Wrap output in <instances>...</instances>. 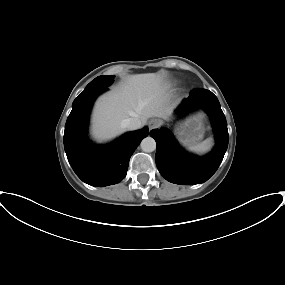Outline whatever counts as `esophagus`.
I'll list each match as a JSON object with an SVG mask.
<instances>
[{
  "mask_svg": "<svg viewBox=\"0 0 285 285\" xmlns=\"http://www.w3.org/2000/svg\"><path fill=\"white\" fill-rule=\"evenodd\" d=\"M160 125H161V121L159 119H152L149 122V128L150 129L158 128V127H160Z\"/></svg>",
  "mask_w": 285,
  "mask_h": 285,
  "instance_id": "34e87169",
  "label": "esophagus"
}]
</instances>
